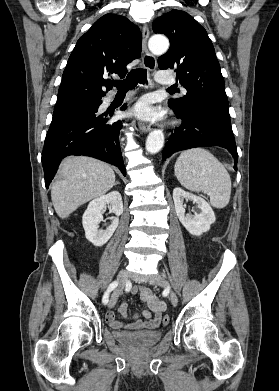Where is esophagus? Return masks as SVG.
Instances as JSON below:
<instances>
[{
	"instance_id": "obj_1",
	"label": "esophagus",
	"mask_w": 279,
	"mask_h": 391,
	"mask_svg": "<svg viewBox=\"0 0 279 391\" xmlns=\"http://www.w3.org/2000/svg\"><path fill=\"white\" fill-rule=\"evenodd\" d=\"M148 37H149V29L147 25H144L142 28V63L146 69L153 71L156 68L157 62L155 56L148 51L147 48ZM138 126L140 130L144 133L149 132L151 130V126L144 122H140Z\"/></svg>"
}]
</instances>
